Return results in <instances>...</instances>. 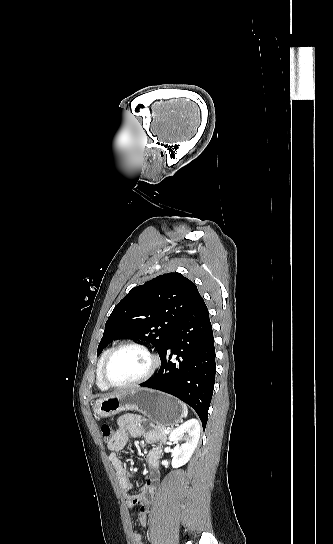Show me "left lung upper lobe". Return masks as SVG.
<instances>
[{
    "label": "left lung upper lobe",
    "mask_w": 333,
    "mask_h": 544,
    "mask_svg": "<svg viewBox=\"0 0 333 544\" xmlns=\"http://www.w3.org/2000/svg\"><path fill=\"white\" fill-rule=\"evenodd\" d=\"M196 285L180 273H167L137 286L115 306L97 355L112 341L136 338L160 355L183 316L200 298Z\"/></svg>",
    "instance_id": "obj_1"
}]
</instances>
